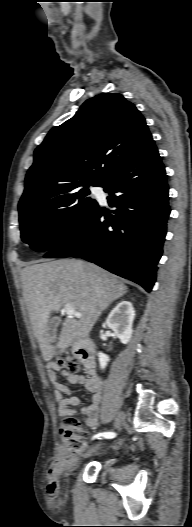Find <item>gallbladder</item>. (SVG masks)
I'll list each match as a JSON object with an SVG mask.
<instances>
[{
	"label": "gallbladder",
	"instance_id": "1",
	"mask_svg": "<svg viewBox=\"0 0 192 527\" xmlns=\"http://www.w3.org/2000/svg\"><path fill=\"white\" fill-rule=\"evenodd\" d=\"M61 323L60 317H54L50 319L49 321V327H48V335L52 342L55 341L56 334H57V328Z\"/></svg>",
	"mask_w": 192,
	"mask_h": 527
}]
</instances>
